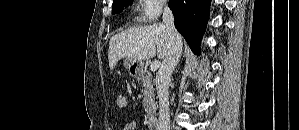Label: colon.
Masks as SVG:
<instances>
[{"mask_svg":"<svg viewBox=\"0 0 299 130\" xmlns=\"http://www.w3.org/2000/svg\"><path fill=\"white\" fill-rule=\"evenodd\" d=\"M117 105L120 108H125L127 106V98H126L125 95H123V94L118 95V97H117Z\"/></svg>","mask_w":299,"mask_h":130,"instance_id":"5ec220e1","label":"colon"}]
</instances>
